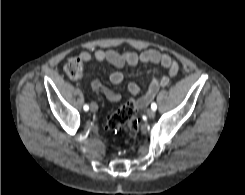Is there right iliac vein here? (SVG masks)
<instances>
[{"mask_svg": "<svg viewBox=\"0 0 245 195\" xmlns=\"http://www.w3.org/2000/svg\"><path fill=\"white\" fill-rule=\"evenodd\" d=\"M90 110L96 112L98 110V105L96 103H91Z\"/></svg>", "mask_w": 245, "mask_h": 195, "instance_id": "63e3f726", "label": "right iliac vein"}]
</instances>
